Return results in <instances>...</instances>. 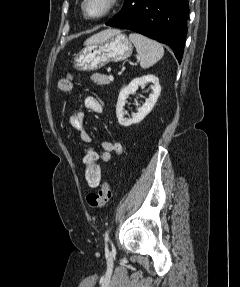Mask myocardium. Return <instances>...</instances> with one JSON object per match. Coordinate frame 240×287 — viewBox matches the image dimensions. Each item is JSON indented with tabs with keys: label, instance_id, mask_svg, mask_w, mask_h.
I'll use <instances>...</instances> for the list:
<instances>
[{
	"label": "myocardium",
	"instance_id": "f54148a6",
	"mask_svg": "<svg viewBox=\"0 0 240 287\" xmlns=\"http://www.w3.org/2000/svg\"><path fill=\"white\" fill-rule=\"evenodd\" d=\"M87 1L88 0H83L81 3V9H82L84 16L91 20H101L107 17L114 10L118 0H106V5H105L104 10L96 16H91L87 13V10H86Z\"/></svg>",
	"mask_w": 240,
	"mask_h": 287
}]
</instances>
